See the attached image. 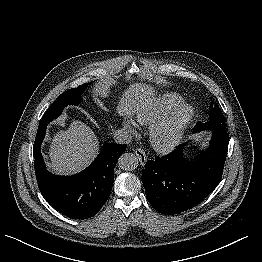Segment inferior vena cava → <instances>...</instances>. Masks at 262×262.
Masks as SVG:
<instances>
[{
    "label": "inferior vena cava",
    "instance_id": "obj_1",
    "mask_svg": "<svg viewBox=\"0 0 262 262\" xmlns=\"http://www.w3.org/2000/svg\"><path fill=\"white\" fill-rule=\"evenodd\" d=\"M132 136L125 129H118L114 132V140L118 144H128L131 142Z\"/></svg>",
    "mask_w": 262,
    "mask_h": 262
}]
</instances>
